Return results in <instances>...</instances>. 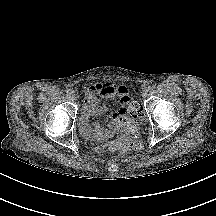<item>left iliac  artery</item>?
Masks as SVG:
<instances>
[{
  "instance_id": "left-iliac-artery-1",
  "label": "left iliac artery",
  "mask_w": 216,
  "mask_h": 216,
  "mask_svg": "<svg viewBox=\"0 0 216 216\" xmlns=\"http://www.w3.org/2000/svg\"><path fill=\"white\" fill-rule=\"evenodd\" d=\"M154 90V86H149L148 87V91H153Z\"/></svg>"
}]
</instances>
